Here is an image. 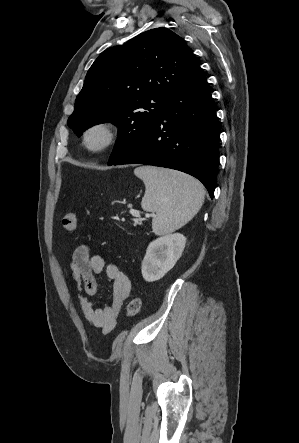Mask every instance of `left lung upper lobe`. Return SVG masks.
Here are the masks:
<instances>
[{
	"label": "left lung upper lobe",
	"instance_id": "5c2ea615",
	"mask_svg": "<svg viewBox=\"0 0 299 443\" xmlns=\"http://www.w3.org/2000/svg\"><path fill=\"white\" fill-rule=\"evenodd\" d=\"M198 67L185 41L171 30L143 32L95 60L67 124L78 137L93 125L115 124L119 138L108 162L113 163L154 125L177 87Z\"/></svg>",
	"mask_w": 299,
	"mask_h": 443
}]
</instances>
